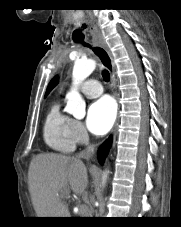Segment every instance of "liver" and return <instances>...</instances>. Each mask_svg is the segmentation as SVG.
Segmentation results:
<instances>
[{
    "mask_svg": "<svg viewBox=\"0 0 181 227\" xmlns=\"http://www.w3.org/2000/svg\"><path fill=\"white\" fill-rule=\"evenodd\" d=\"M28 183L38 217H69L64 198L68 197L70 190L77 195L85 192L87 168L79 158L39 154L30 163Z\"/></svg>",
    "mask_w": 181,
    "mask_h": 227,
    "instance_id": "obj_1",
    "label": "liver"
}]
</instances>
